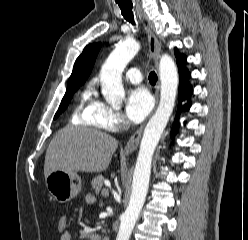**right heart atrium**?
<instances>
[{
  "instance_id": "1",
  "label": "right heart atrium",
  "mask_w": 248,
  "mask_h": 240,
  "mask_svg": "<svg viewBox=\"0 0 248 240\" xmlns=\"http://www.w3.org/2000/svg\"><path fill=\"white\" fill-rule=\"evenodd\" d=\"M91 119L93 126L106 131H115L126 125L124 116L103 102H98Z\"/></svg>"
}]
</instances>
